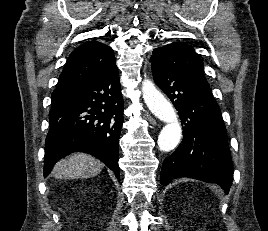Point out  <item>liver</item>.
<instances>
[{
    "label": "liver",
    "instance_id": "obj_1",
    "mask_svg": "<svg viewBox=\"0 0 268 231\" xmlns=\"http://www.w3.org/2000/svg\"><path fill=\"white\" fill-rule=\"evenodd\" d=\"M103 163L91 155L75 153L58 162L54 168L57 179L91 178L101 172Z\"/></svg>",
    "mask_w": 268,
    "mask_h": 231
}]
</instances>
